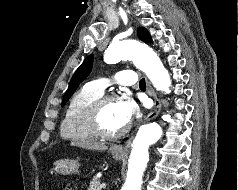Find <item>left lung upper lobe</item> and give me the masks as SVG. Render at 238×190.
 Listing matches in <instances>:
<instances>
[{
    "mask_svg": "<svg viewBox=\"0 0 238 190\" xmlns=\"http://www.w3.org/2000/svg\"><path fill=\"white\" fill-rule=\"evenodd\" d=\"M137 35L139 39L142 40L143 42L145 43L151 42V36L144 27L138 28ZM92 63H93V55L91 54L83 61V63L76 70L69 83V87L64 95L62 106L76 91L79 84L90 74L92 69Z\"/></svg>",
    "mask_w": 238,
    "mask_h": 190,
    "instance_id": "obj_1",
    "label": "left lung upper lobe"
}]
</instances>
